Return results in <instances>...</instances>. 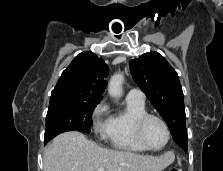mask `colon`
Listing matches in <instances>:
<instances>
[{
	"instance_id": "1",
	"label": "colon",
	"mask_w": 223,
	"mask_h": 171,
	"mask_svg": "<svg viewBox=\"0 0 223 171\" xmlns=\"http://www.w3.org/2000/svg\"><path fill=\"white\" fill-rule=\"evenodd\" d=\"M170 171H180V170L177 168H172Z\"/></svg>"
}]
</instances>
